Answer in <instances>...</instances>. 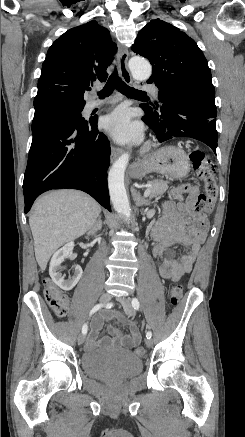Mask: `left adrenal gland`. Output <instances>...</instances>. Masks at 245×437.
I'll use <instances>...</instances> for the list:
<instances>
[{"label":"left adrenal gland","mask_w":245,"mask_h":437,"mask_svg":"<svg viewBox=\"0 0 245 437\" xmlns=\"http://www.w3.org/2000/svg\"><path fill=\"white\" fill-rule=\"evenodd\" d=\"M131 193H132L133 200H134L136 206L142 207L143 205L144 206L150 205V201L145 199L144 197H142L141 194L133 187L131 188Z\"/></svg>","instance_id":"1"}]
</instances>
